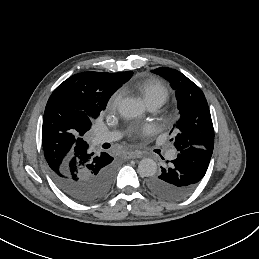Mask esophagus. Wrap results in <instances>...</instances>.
I'll return each mask as SVG.
<instances>
[{"instance_id": "34e87169", "label": "esophagus", "mask_w": 259, "mask_h": 259, "mask_svg": "<svg viewBox=\"0 0 259 259\" xmlns=\"http://www.w3.org/2000/svg\"><path fill=\"white\" fill-rule=\"evenodd\" d=\"M141 157H142V153L141 152L128 151L125 154V158H127V159H137V158H141Z\"/></svg>"}]
</instances>
